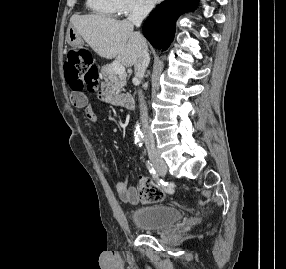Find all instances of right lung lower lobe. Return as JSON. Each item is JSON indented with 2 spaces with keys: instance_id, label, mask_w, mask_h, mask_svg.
I'll use <instances>...</instances> for the list:
<instances>
[{
  "instance_id": "98d812e1",
  "label": "right lung lower lobe",
  "mask_w": 286,
  "mask_h": 269,
  "mask_svg": "<svg viewBox=\"0 0 286 269\" xmlns=\"http://www.w3.org/2000/svg\"><path fill=\"white\" fill-rule=\"evenodd\" d=\"M197 3L198 0H165L145 21L144 36L155 48L166 50L173 40L178 16L195 8Z\"/></svg>"
}]
</instances>
